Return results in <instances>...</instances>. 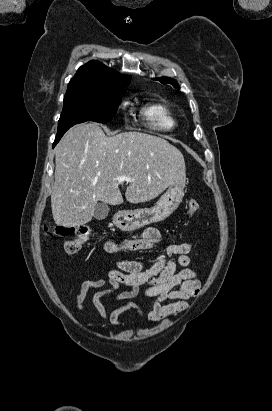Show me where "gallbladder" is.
<instances>
[{"instance_id": "1", "label": "gallbladder", "mask_w": 272, "mask_h": 411, "mask_svg": "<svg viewBox=\"0 0 272 411\" xmlns=\"http://www.w3.org/2000/svg\"><path fill=\"white\" fill-rule=\"evenodd\" d=\"M109 213V206L104 203L100 202L95 206L94 218L96 220H103L108 216Z\"/></svg>"}]
</instances>
